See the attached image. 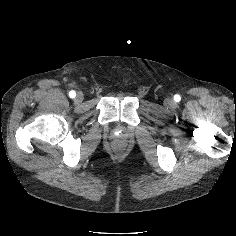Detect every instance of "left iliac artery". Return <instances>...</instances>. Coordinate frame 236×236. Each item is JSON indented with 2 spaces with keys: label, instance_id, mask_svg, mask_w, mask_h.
<instances>
[{
  "label": "left iliac artery",
  "instance_id": "left-iliac-artery-1",
  "mask_svg": "<svg viewBox=\"0 0 236 236\" xmlns=\"http://www.w3.org/2000/svg\"><path fill=\"white\" fill-rule=\"evenodd\" d=\"M174 99H175L176 101H179V100H180V96H179V95H175V96H174Z\"/></svg>",
  "mask_w": 236,
  "mask_h": 236
}]
</instances>
